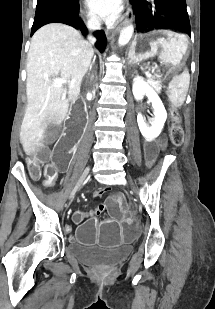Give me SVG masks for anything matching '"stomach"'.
I'll list each match as a JSON object with an SVG mask.
<instances>
[{"label": "stomach", "mask_w": 215, "mask_h": 309, "mask_svg": "<svg viewBox=\"0 0 215 309\" xmlns=\"http://www.w3.org/2000/svg\"><path fill=\"white\" fill-rule=\"evenodd\" d=\"M188 38L168 29H154L137 33L129 48V61L136 64L158 57L161 64L179 68L187 58Z\"/></svg>", "instance_id": "1"}]
</instances>
